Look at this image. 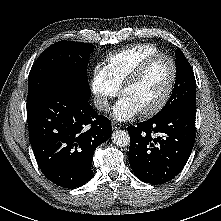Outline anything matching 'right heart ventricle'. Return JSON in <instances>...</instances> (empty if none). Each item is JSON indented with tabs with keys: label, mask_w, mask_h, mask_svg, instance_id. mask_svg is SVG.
Returning <instances> with one entry per match:
<instances>
[{
	"label": "right heart ventricle",
	"mask_w": 221,
	"mask_h": 221,
	"mask_svg": "<svg viewBox=\"0 0 221 221\" xmlns=\"http://www.w3.org/2000/svg\"><path fill=\"white\" fill-rule=\"evenodd\" d=\"M160 50L152 44H134L106 56V68L119 87L128 74L147 56Z\"/></svg>",
	"instance_id": "right-heart-ventricle-1"
}]
</instances>
